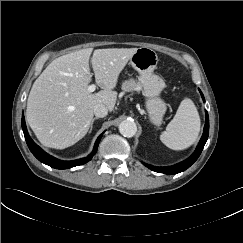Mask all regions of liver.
Returning a JSON list of instances; mask_svg holds the SVG:
<instances>
[{
	"mask_svg": "<svg viewBox=\"0 0 243 243\" xmlns=\"http://www.w3.org/2000/svg\"><path fill=\"white\" fill-rule=\"evenodd\" d=\"M137 49L94 50L91 64L102 89L94 94L88 92L92 48L54 59L33 83L27 100L26 120L40 143L56 149L72 146L87 134L95 105L113 111L118 77Z\"/></svg>",
	"mask_w": 243,
	"mask_h": 243,
	"instance_id": "obj_1",
	"label": "liver"
}]
</instances>
